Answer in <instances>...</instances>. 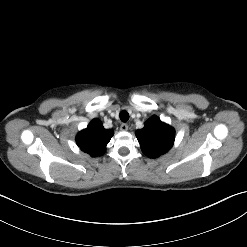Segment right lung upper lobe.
<instances>
[{"instance_id": "1", "label": "right lung upper lobe", "mask_w": 247, "mask_h": 247, "mask_svg": "<svg viewBox=\"0 0 247 247\" xmlns=\"http://www.w3.org/2000/svg\"><path fill=\"white\" fill-rule=\"evenodd\" d=\"M113 130H107L98 119L92 120L86 129L76 136V143L80 149L92 157L105 153L107 144L113 136Z\"/></svg>"}]
</instances>
